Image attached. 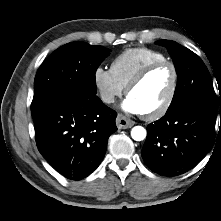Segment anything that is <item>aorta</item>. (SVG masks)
I'll use <instances>...</instances> for the list:
<instances>
[{
    "label": "aorta",
    "instance_id": "aorta-1",
    "mask_svg": "<svg viewBox=\"0 0 221 221\" xmlns=\"http://www.w3.org/2000/svg\"><path fill=\"white\" fill-rule=\"evenodd\" d=\"M146 130L144 127L142 126H135L132 128L131 130V137L135 140V141H142L146 138Z\"/></svg>",
    "mask_w": 221,
    "mask_h": 221
}]
</instances>
